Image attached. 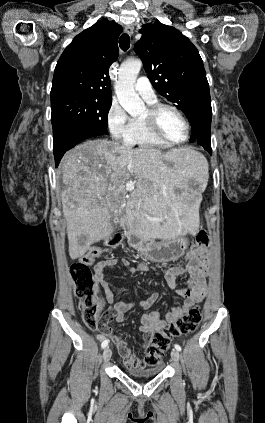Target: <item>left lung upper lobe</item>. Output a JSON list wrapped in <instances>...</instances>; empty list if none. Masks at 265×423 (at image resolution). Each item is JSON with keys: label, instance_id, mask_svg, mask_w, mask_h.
<instances>
[{"label": "left lung upper lobe", "instance_id": "obj_1", "mask_svg": "<svg viewBox=\"0 0 265 423\" xmlns=\"http://www.w3.org/2000/svg\"><path fill=\"white\" fill-rule=\"evenodd\" d=\"M134 50L159 94L185 113L191 127V142L205 119L212 116L209 84L203 61L193 43L174 27L159 21L139 30Z\"/></svg>", "mask_w": 265, "mask_h": 423}]
</instances>
